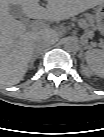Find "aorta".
Wrapping results in <instances>:
<instances>
[{
  "label": "aorta",
  "mask_w": 104,
  "mask_h": 137,
  "mask_svg": "<svg viewBox=\"0 0 104 137\" xmlns=\"http://www.w3.org/2000/svg\"><path fill=\"white\" fill-rule=\"evenodd\" d=\"M63 49L67 52H76L79 48L78 41L71 37H66L62 40Z\"/></svg>",
  "instance_id": "aorta-1"
}]
</instances>
